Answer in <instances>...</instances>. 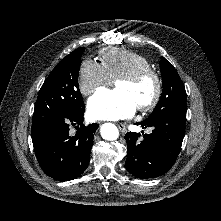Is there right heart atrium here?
Wrapping results in <instances>:
<instances>
[{
  "label": "right heart atrium",
  "instance_id": "obj_1",
  "mask_svg": "<svg viewBox=\"0 0 221 221\" xmlns=\"http://www.w3.org/2000/svg\"><path fill=\"white\" fill-rule=\"evenodd\" d=\"M114 80L107 73L101 63L91 59L82 62L78 73V88L85 95L113 84Z\"/></svg>",
  "mask_w": 221,
  "mask_h": 221
}]
</instances>
